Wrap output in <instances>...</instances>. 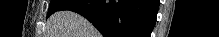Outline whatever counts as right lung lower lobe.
<instances>
[{
  "label": "right lung lower lobe",
  "instance_id": "obj_1",
  "mask_svg": "<svg viewBox=\"0 0 219 37\" xmlns=\"http://www.w3.org/2000/svg\"><path fill=\"white\" fill-rule=\"evenodd\" d=\"M158 6V0H73L60 10L81 14L104 37H149Z\"/></svg>",
  "mask_w": 219,
  "mask_h": 37
}]
</instances>
